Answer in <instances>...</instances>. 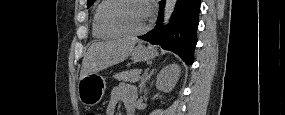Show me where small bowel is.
Listing matches in <instances>:
<instances>
[{"mask_svg": "<svg viewBox=\"0 0 285 115\" xmlns=\"http://www.w3.org/2000/svg\"><path fill=\"white\" fill-rule=\"evenodd\" d=\"M135 98V93L131 87L125 84L115 86L106 107V115H115L119 103L125 106L128 115H132Z\"/></svg>", "mask_w": 285, "mask_h": 115, "instance_id": "obj_1", "label": "small bowel"}]
</instances>
